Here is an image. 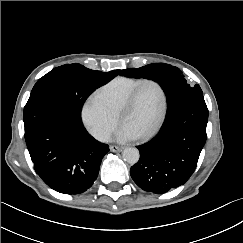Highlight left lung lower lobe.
<instances>
[{"instance_id":"left-lung-lower-lobe-1","label":"left lung lower lobe","mask_w":243,"mask_h":243,"mask_svg":"<svg viewBox=\"0 0 243 243\" xmlns=\"http://www.w3.org/2000/svg\"><path fill=\"white\" fill-rule=\"evenodd\" d=\"M207 121L203 95L191 97L167 113L158 134L137 146L140 159L130 169L134 182L157 194L183 185L197 166L206 142Z\"/></svg>"}]
</instances>
